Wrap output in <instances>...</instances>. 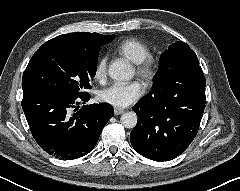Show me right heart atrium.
I'll return each mask as SVG.
<instances>
[{"mask_svg":"<svg viewBox=\"0 0 240 191\" xmlns=\"http://www.w3.org/2000/svg\"><path fill=\"white\" fill-rule=\"evenodd\" d=\"M107 71V58L106 56H102L96 63L94 76L98 80H102L106 76Z\"/></svg>","mask_w":240,"mask_h":191,"instance_id":"obj_1","label":"right heart atrium"}]
</instances>
